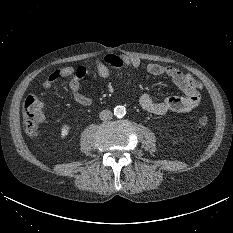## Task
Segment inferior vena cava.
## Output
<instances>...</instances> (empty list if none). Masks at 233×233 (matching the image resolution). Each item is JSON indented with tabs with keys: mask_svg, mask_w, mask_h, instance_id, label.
<instances>
[{
	"mask_svg": "<svg viewBox=\"0 0 233 233\" xmlns=\"http://www.w3.org/2000/svg\"><path fill=\"white\" fill-rule=\"evenodd\" d=\"M101 120H110L112 119V112L110 110H103L99 114Z\"/></svg>",
	"mask_w": 233,
	"mask_h": 233,
	"instance_id": "obj_1",
	"label": "inferior vena cava"
}]
</instances>
